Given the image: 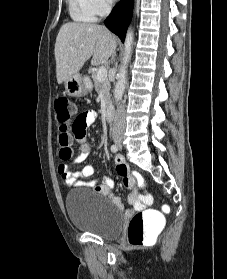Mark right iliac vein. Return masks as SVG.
Wrapping results in <instances>:
<instances>
[{
    "instance_id": "obj_1",
    "label": "right iliac vein",
    "mask_w": 227,
    "mask_h": 279,
    "mask_svg": "<svg viewBox=\"0 0 227 279\" xmlns=\"http://www.w3.org/2000/svg\"><path fill=\"white\" fill-rule=\"evenodd\" d=\"M115 144L118 145V146H121V144H122L121 139L120 138H116L115 139Z\"/></svg>"
}]
</instances>
